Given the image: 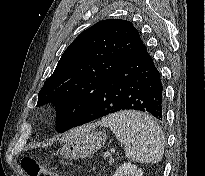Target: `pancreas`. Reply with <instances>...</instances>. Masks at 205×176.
Instances as JSON below:
<instances>
[{
  "label": "pancreas",
  "mask_w": 205,
  "mask_h": 176,
  "mask_svg": "<svg viewBox=\"0 0 205 176\" xmlns=\"http://www.w3.org/2000/svg\"><path fill=\"white\" fill-rule=\"evenodd\" d=\"M114 163V158L113 157H109V164L112 165Z\"/></svg>",
  "instance_id": "1"
}]
</instances>
